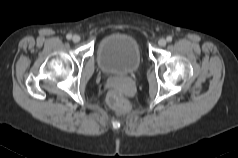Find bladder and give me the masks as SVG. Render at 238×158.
I'll return each mask as SVG.
<instances>
[{
    "label": "bladder",
    "mask_w": 238,
    "mask_h": 158,
    "mask_svg": "<svg viewBox=\"0 0 238 158\" xmlns=\"http://www.w3.org/2000/svg\"><path fill=\"white\" fill-rule=\"evenodd\" d=\"M96 59L106 74L125 75L135 72L141 64L137 40L125 33H112L98 44Z\"/></svg>",
    "instance_id": "31cf9c89"
}]
</instances>
